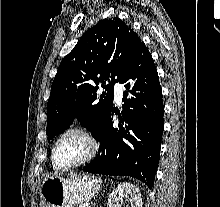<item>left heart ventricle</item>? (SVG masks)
<instances>
[{"instance_id": "left-heart-ventricle-1", "label": "left heart ventricle", "mask_w": 220, "mask_h": 207, "mask_svg": "<svg viewBox=\"0 0 220 207\" xmlns=\"http://www.w3.org/2000/svg\"><path fill=\"white\" fill-rule=\"evenodd\" d=\"M89 151L87 140L79 134H69L58 144L55 152L58 165H69L83 159Z\"/></svg>"}]
</instances>
